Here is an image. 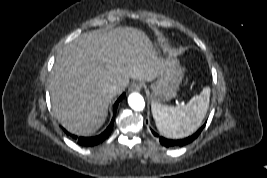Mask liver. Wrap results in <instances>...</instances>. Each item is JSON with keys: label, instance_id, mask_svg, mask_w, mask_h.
I'll list each match as a JSON object with an SVG mask.
<instances>
[{"label": "liver", "instance_id": "6515ba94", "mask_svg": "<svg viewBox=\"0 0 267 178\" xmlns=\"http://www.w3.org/2000/svg\"><path fill=\"white\" fill-rule=\"evenodd\" d=\"M173 60V55H158L149 37L137 28L83 33L56 58L49 81L53 113L69 132L89 136L106 120L114 97L107 92L109 85H117L121 93L130 78L152 81Z\"/></svg>", "mask_w": 267, "mask_h": 178}]
</instances>
